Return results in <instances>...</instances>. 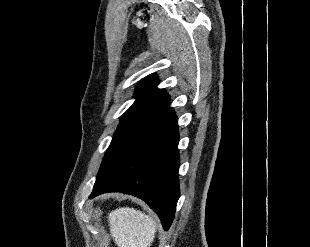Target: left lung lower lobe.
<instances>
[{"label": "left lung lower lobe", "mask_w": 310, "mask_h": 247, "mask_svg": "<svg viewBox=\"0 0 310 247\" xmlns=\"http://www.w3.org/2000/svg\"><path fill=\"white\" fill-rule=\"evenodd\" d=\"M169 111L136 136L96 180L90 198L123 192L144 200L170 227L179 199V132Z\"/></svg>", "instance_id": "1"}]
</instances>
